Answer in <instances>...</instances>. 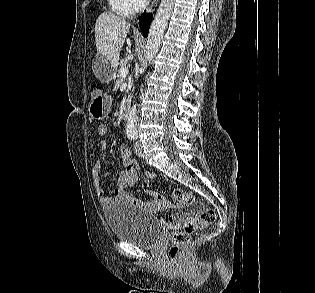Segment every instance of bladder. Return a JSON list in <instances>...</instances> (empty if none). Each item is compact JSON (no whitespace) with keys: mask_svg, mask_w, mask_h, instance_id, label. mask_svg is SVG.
Wrapping results in <instances>:
<instances>
[{"mask_svg":"<svg viewBox=\"0 0 315 293\" xmlns=\"http://www.w3.org/2000/svg\"><path fill=\"white\" fill-rule=\"evenodd\" d=\"M105 220L115 238L148 248L162 235L159 224L144 210L126 202H114L104 209Z\"/></svg>","mask_w":315,"mask_h":293,"instance_id":"1","label":"bladder"}]
</instances>
